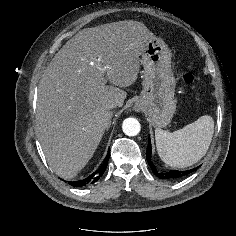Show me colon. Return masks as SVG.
<instances>
[{"label": "colon", "mask_w": 236, "mask_h": 236, "mask_svg": "<svg viewBox=\"0 0 236 236\" xmlns=\"http://www.w3.org/2000/svg\"><path fill=\"white\" fill-rule=\"evenodd\" d=\"M195 80H196V78L192 73H186L183 76V81L187 85H194Z\"/></svg>", "instance_id": "1"}]
</instances>
